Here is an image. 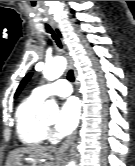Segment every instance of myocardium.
Masks as SVG:
<instances>
[{
  "label": "myocardium",
  "instance_id": "obj_1",
  "mask_svg": "<svg viewBox=\"0 0 135 166\" xmlns=\"http://www.w3.org/2000/svg\"><path fill=\"white\" fill-rule=\"evenodd\" d=\"M42 124L44 125V127H45L46 129H49V125H48L47 123H45V122L42 121Z\"/></svg>",
  "mask_w": 135,
  "mask_h": 166
}]
</instances>
